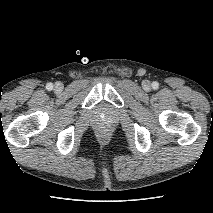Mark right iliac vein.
<instances>
[{
    "mask_svg": "<svg viewBox=\"0 0 213 213\" xmlns=\"http://www.w3.org/2000/svg\"><path fill=\"white\" fill-rule=\"evenodd\" d=\"M54 89H55L56 92L62 91V89H63L62 83H60V82L56 83Z\"/></svg>",
    "mask_w": 213,
    "mask_h": 213,
    "instance_id": "obj_1",
    "label": "right iliac vein"
}]
</instances>
